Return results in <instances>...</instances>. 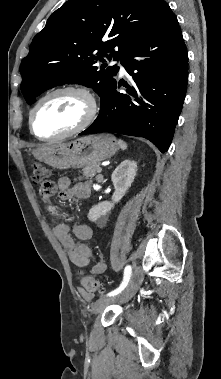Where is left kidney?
Instances as JSON below:
<instances>
[{
	"label": "left kidney",
	"instance_id": "5707ae66",
	"mask_svg": "<svg viewBox=\"0 0 221 379\" xmlns=\"http://www.w3.org/2000/svg\"><path fill=\"white\" fill-rule=\"evenodd\" d=\"M137 164L133 160H124L113 171L111 179L115 188L112 196V201H104L98 205L93 206L88 213V218L91 221L99 220L105 217L116 203H118L127 190L131 186L136 176Z\"/></svg>",
	"mask_w": 221,
	"mask_h": 379
}]
</instances>
